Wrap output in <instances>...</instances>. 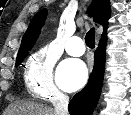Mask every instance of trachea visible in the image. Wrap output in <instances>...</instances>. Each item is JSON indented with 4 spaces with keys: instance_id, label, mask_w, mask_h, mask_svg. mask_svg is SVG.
<instances>
[{
    "instance_id": "3493384b",
    "label": "trachea",
    "mask_w": 131,
    "mask_h": 115,
    "mask_svg": "<svg viewBox=\"0 0 131 115\" xmlns=\"http://www.w3.org/2000/svg\"><path fill=\"white\" fill-rule=\"evenodd\" d=\"M85 43L89 48L95 47V29L91 28L85 36Z\"/></svg>"
}]
</instances>
